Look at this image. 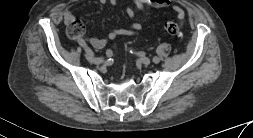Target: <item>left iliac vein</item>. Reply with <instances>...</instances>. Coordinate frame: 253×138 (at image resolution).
I'll list each match as a JSON object with an SVG mask.
<instances>
[{
  "label": "left iliac vein",
  "instance_id": "obj_1",
  "mask_svg": "<svg viewBox=\"0 0 253 138\" xmlns=\"http://www.w3.org/2000/svg\"><path fill=\"white\" fill-rule=\"evenodd\" d=\"M139 60L144 65H149L151 63V60L145 56H140Z\"/></svg>",
  "mask_w": 253,
  "mask_h": 138
}]
</instances>
